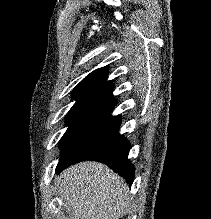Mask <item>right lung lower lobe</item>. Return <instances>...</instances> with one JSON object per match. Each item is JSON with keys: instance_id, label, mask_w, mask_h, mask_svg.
Listing matches in <instances>:
<instances>
[{"instance_id": "right-lung-lower-lobe-1", "label": "right lung lower lobe", "mask_w": 211, "mask_h": 219, "mask_svg": "<svg viewBox=\"0 0 211 219\" xmlns=\"http://www.w3.org/2000/svg\"><path fill=\"white\" fill-rule=\"evenodd\" d=\"M120 117L110 116L59 161L56 173L80 161L106 164L131 184L134 167L128 160L130 143L119 134Z\"/></svg>"}]
</instances>
